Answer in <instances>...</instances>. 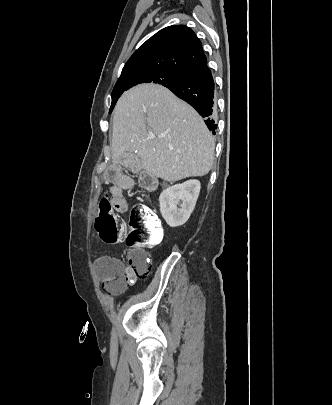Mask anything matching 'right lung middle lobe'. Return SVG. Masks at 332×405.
I'll use <instances>...</instances> for the list:
<instances>
[{"label": "right lung middle lobe", "mask_w": 332, "mask_h": 405, "mask_svg": "<svg viewBox=\"0 0 332 405\" xmlns=\"http://www.w3.org/2000/svg\"><path fill=\"white\" fill-rule=\"evenodd\" d=\"M184 77L178 74L165 73L155 70H139L123 74L118 79L112 92V104L109 113L112 112L116 101L121 94L132 86L142 83H157L165 87L177 83Z\"/></svg>", "instance_id": "right-lung-middle-lobe-1"}]
</instances>
